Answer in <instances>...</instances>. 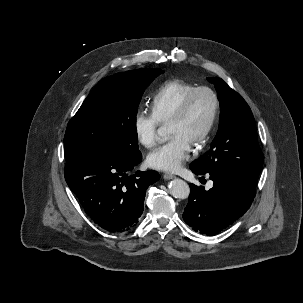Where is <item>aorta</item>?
Masks as SVG:
<instances>
[{"mask_svg": "<svg viewBox=\"0 0 303 303\" xmlns=\"http://www.w3.org/2000/svg\"><path fill=\"white\" fill-rule=\"evenodd\" d=\"M157 132L160 136H163L165 133L162 127H160ZM169 192L174 198L186 199L190 194V188L185 181L181 179H174L169 183Z\"/></svg>", "mask_w": 303, "mask_h": 303, "instance_id": "obj_1", "label": "aorta"}]
</instances>
